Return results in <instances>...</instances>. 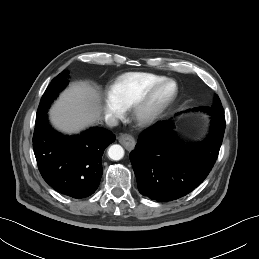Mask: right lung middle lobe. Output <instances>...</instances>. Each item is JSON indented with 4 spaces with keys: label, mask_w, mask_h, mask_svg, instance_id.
Returning a JSON list of instances; mask_svg holds the SVG:
<instances>
[{
    "label": "right lung middle lobe",
    "mask_w": 259,
    "mask_h": 259,
    "mask_svg": "<svg viewBox=\"0 0 259 259\" xmlns=\"http://www.w3.org/2000/svg\"><path fill=\"white\" fill-rule=\"evenodd\" d=\"M69 72L63 71L55 77L44 92L36 115V123L47 114L50 104L57 98L59 92L65 88L68 83L67 77Z\"/></svg>",
    "instance_id": "1"
}]
</instances>
